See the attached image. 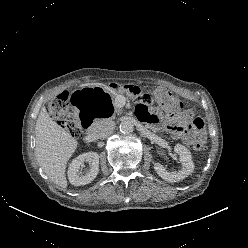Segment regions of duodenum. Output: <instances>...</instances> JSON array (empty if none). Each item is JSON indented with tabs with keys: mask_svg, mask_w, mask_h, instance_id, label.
Instances as JSON below:
<instances>
[{
	"mask_svg": "<svg viewBox=\"0 0 248 248\" xmlns=\"http://www.w3.org/2000/svg\"><path fill=\"white\" fill-rule=\"evenodd\" d=\"M94 117L93 116H83L82 118H81V122H82V126H83V128L85 129V130H87V131H89L90 130V128H91V124H92V119H93Z\"/></svg>",
	"mask_w": 248,
	"mask_h": 248,
	"instance_id": "duodenum-1",
	"label": "duodenum"
}]
</instances>
